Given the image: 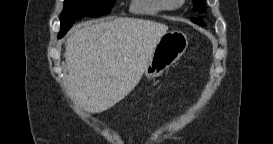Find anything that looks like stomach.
Segmentation results:
<instances>
[{"label": "stomach", "instance_id": "1", "mask_svg": "<svg viewBox=\"0 0 273 144\" xmlns=\"http://www.w3.org/2000/svg\"><path fill=\"white\" fill-rule=\"evenodd\" d=\"M189 41L181 31L172 30L165 33L157 43L153 55L144 71L148 79L161 76L164 71L175 64L185 53Z\"/></svg>", "mask_w": 273, "mask_h": 144}]
</instances>
